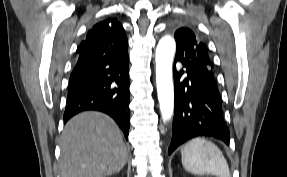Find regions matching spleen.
<instances>
[{
  "instance_id": "obj_1",
  "label": "spleen",
  "mask_w": 287,
  "mask_h": 177,
  "mask_svg": "<svg viewBox=\"0 0 287 177\" xmlns=\"http://www.w3.org/2000/svg\"><path fill=\"white\" fill-rule=\"evenodd\" d=\"M181 155L183 167L192 174L231 177L223 153L211 141L194 138L182 148Z\"/></svg>"
}]
</instances>
